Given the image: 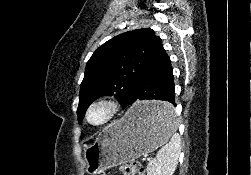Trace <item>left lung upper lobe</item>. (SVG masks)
Instances as JSON below:
<instances>
[{"instance_id":"5c2ea615","label":"left lung upper lobe","mask_w":251,"mask_h":175,"mask_svg":"<svg viewBox=\"0 0 251 175\" xmlns=\"http://www.w3.org/2000/svg\"><path fill=\"white\" fill-rule=\"evenodd\" d=\"M164 54L161 38L150 28L122 33L100 46L87 62L80 86L79 123L101 96L114 95L122 105L126 103L140 78Z\"/></svg>"}]
</instances>
